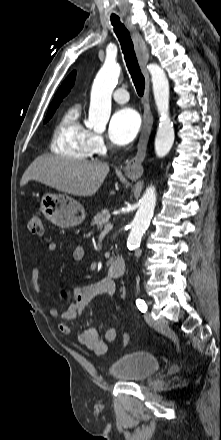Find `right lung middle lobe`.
Here are the masks:
<instances>
[{
  "label": "right lung middle lobe",
  "mask_w": 221,
  "mask_h": 440,
  "mask_svg": "<svg viewBox=\"0 0 221 440\" xmlns=\"http://www.w3.org/2000/svg\"><path fill=\"white\" fill-rule=\"evenodd\" d=\"M57 107H58V106L52 108L51 110H49V111L47 112V116H46V119H45L44 122H47V121L52 117V115L54 114V112H55V110H56Z\"/></svg>",
  "instance_id": "1"
}]
</instances>
